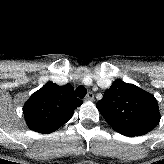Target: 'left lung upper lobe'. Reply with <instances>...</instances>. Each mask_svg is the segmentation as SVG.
<instances>
[{
    "instance_id": "left-lung-upper-lobe-1",
    "label": "left lung upper lobe",
    "mask_w": 164,
    "mask_h": 164,
    "mask_svg": "<svg viewBox=\"0 0 164 164\" xmlns=\"http://www.w3.org/2000/svg\"><path fill=\"white\" fill-rule=\"evenodd\" d=\"M96 106L106 122L126 136L144 135L160 121L156 98L122 80H115Z\"/></svg>"
}]
</instances>
